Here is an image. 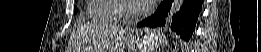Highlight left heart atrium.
I'll return each instance as SVG.
<instances>
[{
  "mask_svg": "<svg viewBox=\"0 0 261 52\" xmlns=\"http://www.w3.org/2000/svg\"><path fill=\"white\" fill-rule=\"evenodd\" d=\"M136 5H140L142 8H149L154 4H157L156 0H136L134 1Z\"/></svg>",
  "mask_w": 261,
  "mask_h": 52,
  "instance_id": "39dd6f15",
  "label": "left heart atrium"
}]
</instances>
